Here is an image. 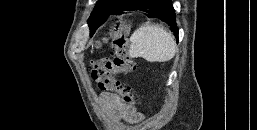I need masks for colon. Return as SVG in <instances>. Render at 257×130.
Segmentation results:
<instances>
[{"label":"colon","mask_w":257,"mask_h":130,"mask_svg":"<svg viewBox=\"0 0 257 130\" xmlns=\"http://www.w3.org/2000/svg\"><path fill=\"white\" fill-rule=\"evenodd\" d=\"M128 35L127 24L115 26L111 32V55L93 62L91 76L101 92L117 93L126 106L135 107L139 104V96L120 79V75L131 73L136 68L129 53Z\"/></svg>","instance_id":"5ec220e1"}]
</instances>
